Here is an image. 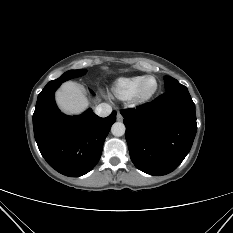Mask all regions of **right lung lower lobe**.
<instances>
[{
    "label": "right lung lower lobe",
    "instance_id": "right-lung-lower-lobe-1",
    "mask_svg": "<svg viewBox=\"0 0 233 233\" xmlns=\"http://www.w3.org/2000/svg\"><path fill=\"white\" fill-rule=\"evenodd\" d=\"M62 81H50L38 95L33 114L34 136L48 164L59 173L79 177L99 161L116 112L101 118L91 109L66 116L56 106L54 93Z\"/></svg>",
    "mask_w": 233,
    "mask_h": 233
}]
</instances>
